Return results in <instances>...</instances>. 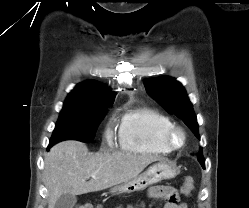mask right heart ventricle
I'll list each match as a JSON object with an SVG mask.
<instances>
[{
  "instance_id": "right-heart-ventricle-1",
  "label": "right heart ventricle",
  "mask_w": 249,
  "mask_h": 208,
  "mask_svg": "<svg viewBox=\"0 0 249 208\" xmlns=\"http://www.w3.org/2000/svg\"><path fill=\"white\" fill-rule=\"evenodd\" d=\"M172 120L162 112L148 107L128 110L119 127V140L123 149L138 154H168L163 135L173 126Z\"/></svg>"
}]
</instances>
